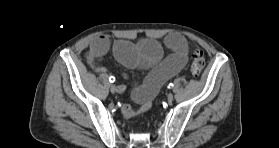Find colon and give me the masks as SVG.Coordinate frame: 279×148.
I'll return each mask as SVG.
<instances>
[{
	"label": "colon",
	"mask_w": 279,
	"mask_h": 148,
	"mask_svg": "<svg viewBox=\"0 0 279 148\" xmlns=\"http://www.w3.org/2000/svg\"><path fill=\"white\" fill-rule=\"evenodd\" d=\"M205 67V56L203 51L195 49L192 55L191 72L193 77H199Z\"/></svg>",
	"instance_id": "colon-1"
}]
</instances>
